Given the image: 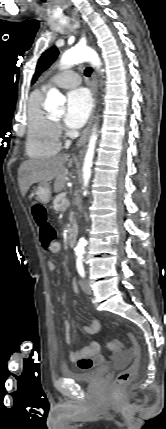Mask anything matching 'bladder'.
I'll list each match as a JSON object with an SVG mask.
<instances>
[{
	"label": "bladder",
	"mask_w": 166,
	"mask_h": 429,
	"mask_svg": "<svg viewBox=\"0 0 166 429\" xmlns=\"http://www.w3.org/2000/svg\"><path fill=\"white\" fill-rule=\"evenodd\" d=\"M108 372V366H100L85 372L64 369L63 374L77 383H91L103 378Z\"/></svg>",
	"instance_id": "1"
}]
</instances>
